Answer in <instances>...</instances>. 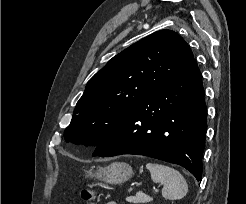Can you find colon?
Returning <instances> with one entry per match:
<instances>
[{
	"label": "colon",
	"instance_id": "obj_1",
	"mask_svg": "<svg viewBox=\"0 0 246 204\" xmlns=\"http://www.w3.org/2000/svg\"><path fill=\"white\" fill-rule=\"evenodd\" d=\"M94 196V192L91 190V189H84L82 190L81 192V198L84 200V201H89L93 198Z\"/></svg>",
	"mask_w": 246,
	"mask_h": 204
}]
</instances>
